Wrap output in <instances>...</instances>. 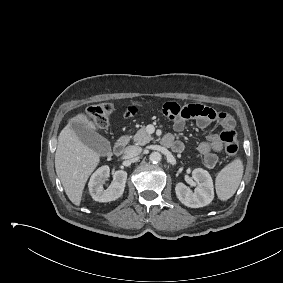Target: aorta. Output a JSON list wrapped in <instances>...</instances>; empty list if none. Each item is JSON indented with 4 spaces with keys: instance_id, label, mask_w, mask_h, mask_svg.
<instances>
[{
    "instance_id": "aorta-1",
    "label": "aorta",
    "mask_w": 283,
    "mask_h": 283,
    "mask_svg": "<svg viewBox=\"0 0 283 283\" xmlns=\"http://www.w3.org/2000/svg\"><path fill=\"white\" fill-rule=\"evenodd\" d=\"M162 159V156L159 152H152L149 156V160L152 163H158Z\"/></svg>"
}]
</instances>
